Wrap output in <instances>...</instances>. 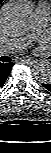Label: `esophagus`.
Listing matches in <instances>:
<instances>
[{
  "label": "esophagus",
  "mask_w": 51,
  "mask_h": 153,
  "mask_svg": "<svg viewBox=\"0 0 51 153\" xmlns=\"http://www.w3.org/2000/svg\"><path fill=\"white\" fill-rule=\"evenodd\" d=\"M22 61H23L24 63H27V64H33V63L36 62V60L33 59V58H24V59H22Z\"/></svg>",
  "instance_id": "esophagus-1"
}]
</instances>
